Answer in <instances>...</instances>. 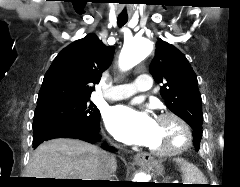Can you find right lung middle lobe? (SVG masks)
Segmentation results:
<instances>
[{
    "mask_svg": "<svg viewBox=\"0 0 240 187\" xmlns=\"http://www.w3.org/2000/svg\"><path fill=\"white\" fill-rule=\"evenodd\" d=\"M100 112L90 102V98L59 99L37 105L34 113L33 128L51 121L85 127L97 123Z\"/></svg>",
    "mask_w": 240,
    "mask_h": 187,
    "instance_id": "obj_1",
    "label": "right lung middle lobe"
}]
</instances>
